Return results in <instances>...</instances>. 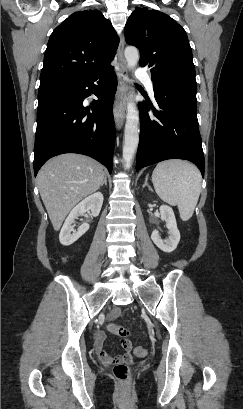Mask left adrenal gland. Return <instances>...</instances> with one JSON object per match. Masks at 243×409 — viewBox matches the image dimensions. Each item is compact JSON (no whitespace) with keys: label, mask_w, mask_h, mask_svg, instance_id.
I'll use <instances>...</instances> for the list:
<instances>
[{"label":"left adrenal gland","mask_w":243,"mask_h":409,"mask_svg":"<svg viewBox=\"0 0 243 409\" xmlns=\"http://www.w3.org/2000/svg\"><path fill=\"white\" fill-rule=\"evenodd\" d=\"M146 186L148 187L149 190H152L151 186L148 184V176H146V178H145V182H144V184H143V188H145Z\"/></svg>","instance_id":"1"}]
</instances>
